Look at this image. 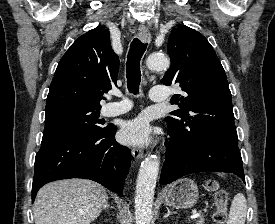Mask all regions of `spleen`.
<instances>
[{
    "mask_svg": "<svg viewBox=\"0 0 275 224\" xmlns=\"http://www.w3.org/2000/svg\"><path fill=\"white\" fill-rule=\"evenodd\" d=\"M246 211V199L242 193H238L232 201L227 224H245Z\"/></svg>",
    "mask_w": 275,
    "mask_h": 224,
    "instance_id": "3e777b00",
    "label": "spleen"
}]
</instances>
